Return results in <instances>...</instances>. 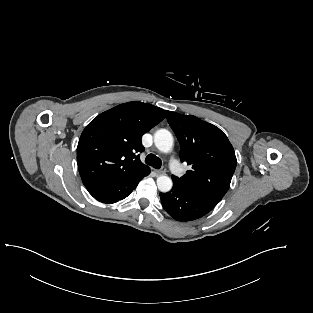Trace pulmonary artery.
Returning a JSON list of instances; mask_svg holds the SVG:
<instances>
[{"label": "pulmonary artery", "mask_w": 313, "mask_h": 313, "mask_svg": "<svg viewBox=\"0 0 313 313\" xmlns=\"http://www.w3.org/2000/svg\"><path fill=\"white\" fill-rule=\"evenodd\" d=\"M170 167H171L172 172L175 175H180L181 174V167H180L179 162L176 159H172L170 161Z\"/></svg>", "instance_id": "pulmonary-artery-1"}]
</instances>
